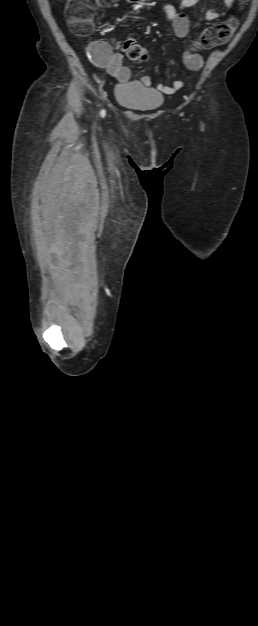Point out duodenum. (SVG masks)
Segmentation results:
<instances>
[{
  "label": "duodenum",
  "instance_id": "410a0bca",
  "mask_svg": "<svg viewBox=\"0 0 258 626\" xmlns=\"http://www.w3.org/2000/svg\"><path fill=\"white\" fill-rule=\"evenodd\" d=\"M128 2L148 1V0H127Z\"/></svg>",
  "mask_w": 258,
  "mask_h": 626
}]
</instances>
